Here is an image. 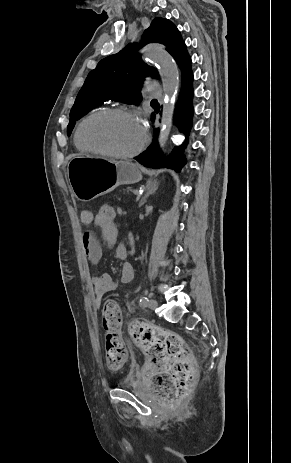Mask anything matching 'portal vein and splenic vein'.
Instances as JSON below:
<instances>
[{
    "label": "portal vein and splenic vein",
    "mask_w": 291,
    "mask_h": 463,
    "mask_svg": "<svg viewBox=\"0 0 291 463\" xmlns=\"http://www.w3.org/2000/svg\"><path fill=\"white\" fill-rule=\"evenodd\" d=\"M133 193H134L135 195H137V194H138V190H137V189H134V190H133Z\"/></svg>",
    "instance_id": "portal-vein-and-splenic-vein-1"
}]
</instances>
